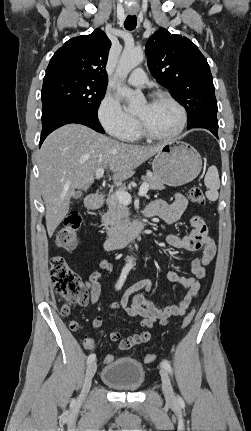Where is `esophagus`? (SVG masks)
<instances>
[{
  "instance_id": "esophagus-1",
  "label": "esophagus",
  "mask_w": 251,
  "mask_h": 431,
  "mask_svg": "<svg viewBox=\"0 0 251 431\" xmlns=\"http://www.w3.org/2000/svg\"><path fill=\"white\" fill-rule=\"evenodd\" d=\"M136 12L135 11H131L130 14L134 15Z\"/></svg>"
}]
</instances>
